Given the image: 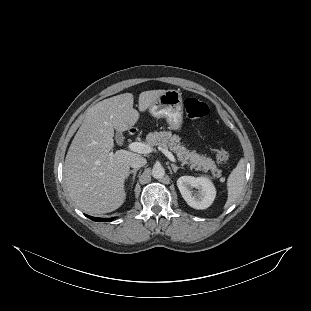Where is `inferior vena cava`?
Segmentation results:
<instances>
[{
    "label": "inferior vena cava",
    "instance_id": "inferior-vena-cava-1",
    "mask_svg": "<svg viewBox=\"0 0 311 311\" xmlns=\"http://www.w3.org/2000/svg\"><path fill=\"white\" fill-rule=\"evenodd\" d=\"M146 163H147V161L144 157L137 156V157H134L133 159L130 160L129 166L131 168L138 169V168L145 166Z\"/></svg>",
    "mask_w": 311,
    "mask_h": 311
}]
</instances>
